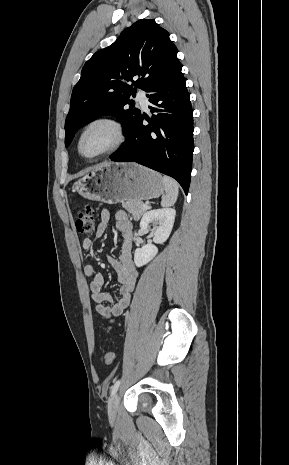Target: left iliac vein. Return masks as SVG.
<instances>
[{
    "label": "left iliac vein",
    "mask_w": 289,
    "mask_h": 465,
    "mask_svg": "<svg viewBox=\"0 0 289 465\" xmlns=\"http://www.w3.org/2000/svg\"><path fill=\"white\" fill-rule=\"evenodd\" d=\"M119 394H114L108 404V415L111 421H114L117 416L118 406H119Z\"/></svg>",
    "instance_id": "left-iliac-vein-1"
}]
</instances>
